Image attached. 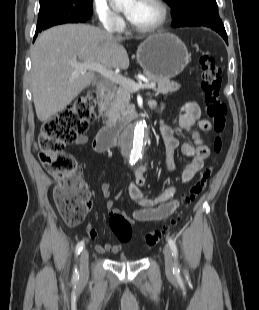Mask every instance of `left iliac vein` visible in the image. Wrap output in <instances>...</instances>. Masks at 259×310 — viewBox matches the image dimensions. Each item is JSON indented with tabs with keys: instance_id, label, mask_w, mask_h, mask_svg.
<instances>
[{
	"instance_id": "4c4485c4",
	"label": "left iliac vein",
	"mask_w": 259,
	"mask_h": 310,
	"mask_svg": "<svg viewBox=\"0 0 259 310\" xmlns=\"http://www.w3.org/2000/svg\"><path fill=\"white\" fill-rule=\"evenodd\" d=\"M163 254H164V259H165L166 273L171 275L173 273L174 262H173L172 252L168 246L164 247Z\"/></svg>"
}]
</instances>
